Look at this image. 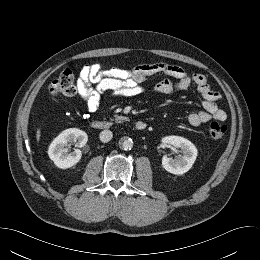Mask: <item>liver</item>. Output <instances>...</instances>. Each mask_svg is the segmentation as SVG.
Listing matches in <instances>:
<instances>
[{"label":"liver","instance_id":"obj_1","mask_svg":"<svg viewBox=\"0 0 260 260\" xmlns=\"http://www.w3.org/2000/svg\"><path fill=\"white\" fill-rule=\"evenodd\" d=\"M40 137H41V131H40V129H38V130H37V133H36V139H37V141L40 140Z\"/></svg>","mask_w":260,"mask_h":260}]
</instances>
